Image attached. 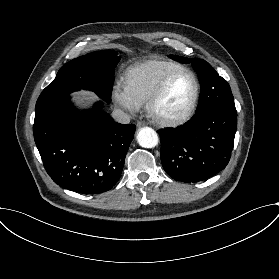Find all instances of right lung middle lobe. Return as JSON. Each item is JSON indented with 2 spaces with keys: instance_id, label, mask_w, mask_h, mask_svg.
Here are the masks:
<instances>
[{
  "instance_id": "dd1d6c3e",
  "label": "right lung middle lobe",
  "mask_w": 279,
  "mask_h": 279,
  "mask_svg": "<svg viewBox=\"0 0 279 279\" xmlns=\"http://www.w3.org/2000/svg\"><path fill=\"white\" fill-rule=\"evenodd\" d=\"M119 60L114 50H103L66 63L40 94L36 110L80 89L94 91L102 100L110 103L115 67Z\"/></svg>"
}]
</instances>
